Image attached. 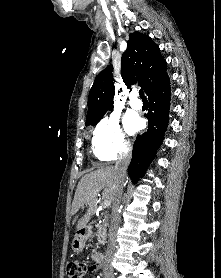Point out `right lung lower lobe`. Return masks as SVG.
Segmentation results:
<instances>
[{
    "label": "right lung lower lobe",
    "instance_id": "right-lung-lower-lobe-1",
    "mask_svg": "<svg viewBox=\"0 0 221 278\" xmlns=\"http://www.w3.org/2000/svg\"><path fill=\"white\" fill-rule=\"evenodd\" d=\"M149 100L148 130L138 135L133 146V155L128 167V175L135 184L155 157L157 148L161 145L169 120L170 81L167 73L145 91Z\"/></svg>",
    "mask_w": 221,
    "mask_h": 278
}]
</instances>
